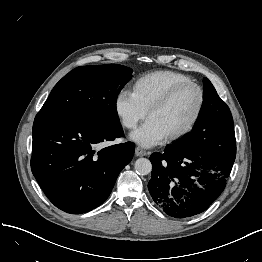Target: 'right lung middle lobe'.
Masks as SVG:
<instances>
[{"instance_id": "obj_1", "label": "right lung middle lobe", "mask_w": 262, "mask_h": 262, "mask_svg": "<svg viewBox=\"0 0 262 262\" xmlns=\"http://www.w3.org/2000/svg\"><path fill=\"white\" fill-rule=\"evenodd\" d=\"M131 78L132 69L118 64L77 67L55 85L41 110L74 114L100 126H117L116 100Z\"/></svg>"}]
</instances>
